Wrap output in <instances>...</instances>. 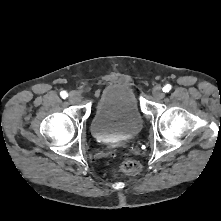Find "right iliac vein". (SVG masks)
Masks as SVG:
<instances>
[{"instance_id": "obj_1", "label": "right iliac vein", "mask_w": 221, "mask_h": 221, "mask_svg": "<svg viewBox=\"0 0 221 221\" xmlns=\"http://www.w3.org/2000/svg\"><path fill=\"white\" fill-rule=\"evenodd\" d=\"M69 101L71 103H78V102H80L81 101L80 94L78 92H76V91L70 92V94H69Z\"/></svg>"}]
</instances>
